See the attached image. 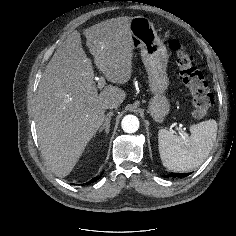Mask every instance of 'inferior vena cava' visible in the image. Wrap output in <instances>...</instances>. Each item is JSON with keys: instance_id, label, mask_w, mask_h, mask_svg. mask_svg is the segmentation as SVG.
Masks as SVG:
<instances>
[{"instance_id": "obj_1", "label": "inferior vena cava", "mask_w": 236, "mask_h": 236, "mask_svg": "<svg viewBox=\"0 0 236 236\" xmlns=\"http://www.w3.org/2000/svg\"><path fill=\"white\" fill-rule=\"evenodd\" d=\"M119 105L117 103H108L106 105V109H113V108H117Z\"/></svg>"}]
</instances>
